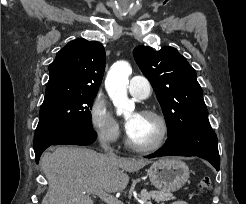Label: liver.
Returning a JSON list of instances; mask_svg holds the SVG:
<instances>
[{
	"instance_id": "6515ba94",
	"label": "liver",
	"mask_w": 246,
	"mask_h": 204,
	"mask_svg": "<svg viewBox=\"0 0 246 204\" xmlns=\"http://www.w3.org/2000/svg\"><path fill=\"white\" fill-rule=\"evenodd\" d=\"M150 161L128 159L97 153L88 148L56 147L41 159V168L49 188L41 204H94V187L109 193L124 190L129 183L127 172L143 168Z\"/></svg>"
}]
</instances>
